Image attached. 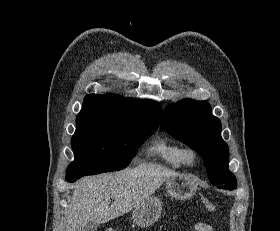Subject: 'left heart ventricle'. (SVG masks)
Wrapping results in <instances>:
<instances>
[{"label":"left heart ventricle","mask_w":280,"mask_h":231,"mask_svg":"<svg viewBox=\"0 0 280 231\" xmlns=\"http://www.w3.org/2000/svg\"><path fill=\"white\" fill-rule=\"evenodd\" d=\"M189 160L191 163H194V161H195L194 157H192V156H190Z\"/></svg>","instance_id":"left-heart-ventricle-1"}]
</instances>
